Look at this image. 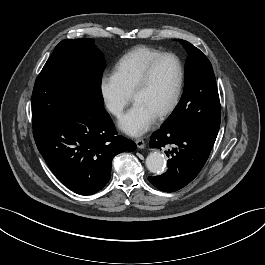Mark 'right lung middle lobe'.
<instances>
[{
  "mask_svg": "<svg viewBox=\"0 0 265 265\" xmlns=\"http://www.w3.org/2000/svg\"><path fill=\"white\" fill-rule=\"evenodd\" d=\"M102 53L93 39H65L56 47L36 79L32 94L33 128L55 117L72 101L85 97L103 104Z\"/></svg>",
  "mask_w": 265,
  "mask_h": 265,
  "instance_id": "obj_1",
  "label": "right lung middle lobe"
}]
</instances>
